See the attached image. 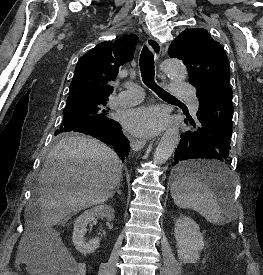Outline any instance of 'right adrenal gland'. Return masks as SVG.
I'll list each match as a JSON object with an SVG mask.
<instances>
[{"label": "right adrenal gland", "mask_w": 263, "mask_h": 275, "mask_svg": "<svg viewBox=\"0 0 263 275\" xmlns=\"http://www.w3.org/2000/svg\"><path fill=\"white\" fill-rule=\"evenodd\" d=\"M120 189V182L117 184V189L113 192L111 198H113V196L118 193L119 195H121V191L119 190Z\"/></svg>", "instance_id": "1"}]
</instances>
